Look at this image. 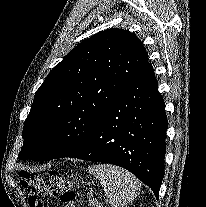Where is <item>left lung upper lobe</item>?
Segmentation results:
<instances>
[{
    "label": "left lung upper lobe",
    "mask_w": 206,
    "mask_h": 207,
    "mask_svg": "<svg viewBox=\"0 0 206 207\" xmlns=\"http://www.w3.org/2000/svg\"><path fill=\"white\" fill-rule=\"evenodd\" d=\"M148 65L135 34L118 28L82 41L35 93L19 159L67 157L90 140L105 110Z\"/></svg>",
    "instance_id": "obj_1"
}]
</instances>
